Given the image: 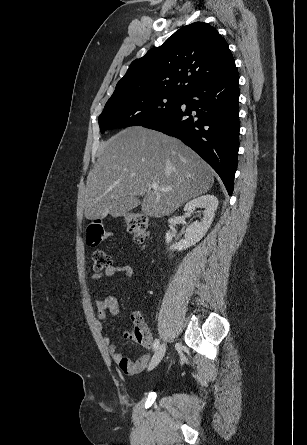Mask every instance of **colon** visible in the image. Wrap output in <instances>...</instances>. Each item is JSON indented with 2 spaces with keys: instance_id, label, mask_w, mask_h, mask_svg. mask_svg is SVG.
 <instances>
[{
  "instance_id": "colon-1",
  "label": "colon",
  "mask_w": 307,
  "mask_h": 445,
  "mask_svg": "<svg viewBox=\"0 0 307 445\" xmlns=\"http://www.w3.org/2000/svg\"><path fill=\"white\" fill-rule=\"evenodd\" d=\"M128 232L133 235L135 241L143 245L148 237L147 219L138 213H128L124 216ZM111 237L101 220H93L89 223L86 230V244L89 247H96L102 241ZM93 266L96 271H102L111 266V259L108 253L103 250H95L92 254ZM132 321L135 325L132 332V339L142 346H148L151 343V336L147 330L143 315L136 312L132 315Z\"/></svg>"
}]
</instances>
